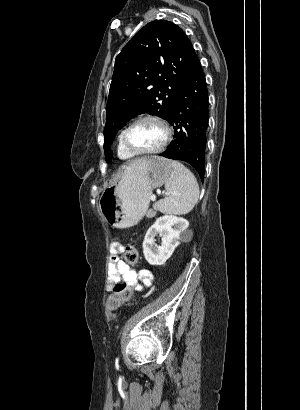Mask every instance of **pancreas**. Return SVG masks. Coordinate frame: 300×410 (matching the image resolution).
<instances>
[{"label": "pancreas", "mask_w": 300, "mask_h": 410, "mask_svg": "<svg viewBox=\"0 0 300 410\" xmlns=\"http://www.w3.org/2000/svg\"><path fill=\"white\" fill-rule=\"evenodd\" d=\"M158 210H159V202H157L155 205H153L152 209L147 212V214H146L147 218L155 217Z\"/></svg>", "instance_id": "pancreas-1"}]
</instances>
